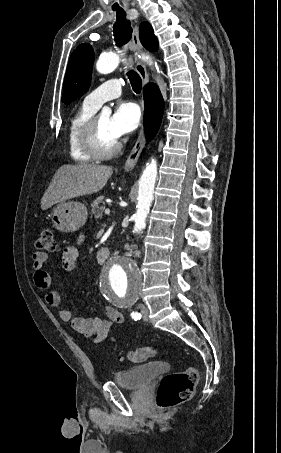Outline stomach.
<instances>
[{
	"label": "stomach",
	"mask_w": 281,
	"mask_h": 453,
	"mask_svg": "<svg viewBox=\"0 0 281 453\" xmlns=\"http://www.w3.org/2000/svg\"><path fill=\"white\" fill-rule=\"evenodd\" d=\"M87 208L82 202H60L51 210L54 229L60 233H75L87 220Z\"/></svg>",
	"instance_id": "obj_1"
}]
</instances>
